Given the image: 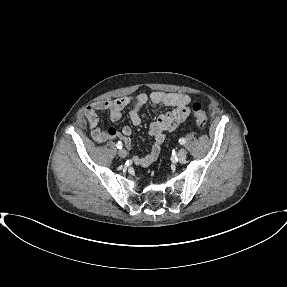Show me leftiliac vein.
Masks as SVG:
<instances>
[{
  "instance_id": "left-iliac-vein-1",
  "label": "left iliac vein",
  "mask_w": 287,
  "mask_h": 287,
  "mask_svg": "<svg viewBox=\"0 0 287 287\" xmlns=\"http://www.w3.org/2000/svg\"><path fill=\"white\" fill-rule=\"evenodd\" d=\"M186 155H187V151H186V149H184V148H181V149L178 151V154H177L178 159H179L180 161L185 160Z\"/></svg>"
}]
</instances>
